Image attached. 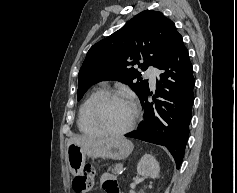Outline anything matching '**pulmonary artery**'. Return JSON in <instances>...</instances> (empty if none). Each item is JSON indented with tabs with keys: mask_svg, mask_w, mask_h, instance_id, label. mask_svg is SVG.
Listing matches in <instances>:
<instances>
[{
	"mask_svg": "<svg viewBox=\"0 0 237 193\" xmlns=\"http://www.w3.org/2000/svg\"><path fill=\"white\" fill-rule=\"evenodd\" d=\"M156 68H154L153 66H149L146 70V76L150 79V85L152 87L155 86V82H156Z\"/></svg>",
	"mask_w": 237,
	"mask_h": 193,
	"instance_id": "pulmonary-artery-1",
	"label": "pulmonary artery"
}]
</instances>
